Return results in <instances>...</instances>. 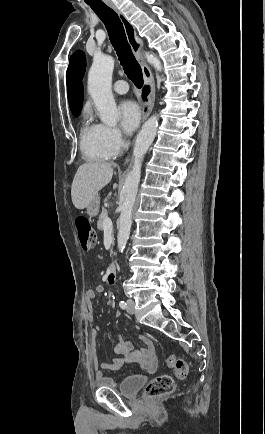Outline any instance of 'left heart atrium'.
Returning a JSON list of instances; mask_svg holds the SVG:
<instances>
[{"instance_id":"obj_1","label":"left heart atrium","mask_w":265,"mask_h":434,"mask_svg":"<svg viewBox=\"0 0 265 434\" xmlns=\"http://www.w3.org/2000/svg\"><path fill=\"white\" fill-rule=\"evenodd\" d=\"M120 125L127 134L132 133L138 126L141 110L134 101H124L119 105Z\"/></svg>"}]
</instances>
